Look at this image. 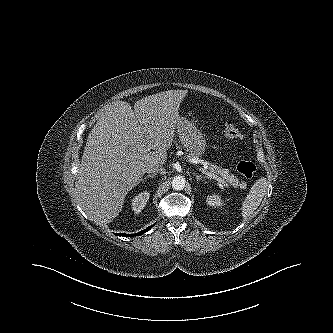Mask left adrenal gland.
I'll return each mask as SVG.
<instances>
[{
    "label": "left adrenal gland",
    "mask_w": 333,
    "mask_h": 333,
    "mask_svg": "<svg viewBox=\"0 0 333 333\" xmlns=\"http://www.w3.org/2000/svg\"><path fill=\"white\" fill-rule=\"evenodd\" d=\"M193 175L195 176V178H196L197 181H200V180L203 179V177L201 175H198L197 173H193ZM204 181H205V179H204Z\"/></svg>",
    "instance_id": "left-adrenal-gland-1"
}]
</instances>
